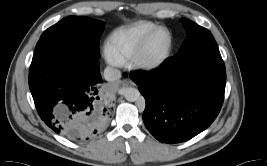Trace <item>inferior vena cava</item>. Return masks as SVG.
I'll use <instances>...</instances> for the list:
<instances>
[{
	"label": "inferior vena cava",
	"instance_id": "obj_1",
	"mask_svg": "<svg viewBox=\"0 0 267 166\" xmlns=\"http://www.w3.org/2000/svg\"><path fill=\"white\" fill-rule=\"evenodd\" d=\"M121 77V72L120 70L113 68V67H106L104 70V78L107 81H115L120 79Z\"/></svg>",
	"mask_w": 267,
	"mask_h": 166
}]
</instances>
